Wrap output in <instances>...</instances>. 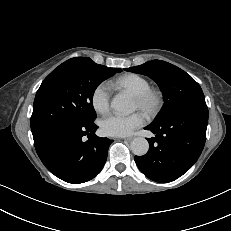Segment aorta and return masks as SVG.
Returning a JSON list of instances; mask_svg holds the SVG:
<instances>
[{"mask_svg": "<svg viewBox=\"0 0 231 231\" xmlns=\"http://www.w3.org/2000/svg\"><path fill=\"white\" fill-rule=\"evenodd\" d=\"M111 107L121 113L129 114L133 112V106L131 104V101L129 100V98L122 94H118L112 99ZM130 147L133 154L137 156H142L148 152L149 143L143 137H136L132 140Z\"/></svg>", "mask_w": 231, "mask_h": 231, "instance_id": "762f6f07", "label": "aorta"}]
</instances>
